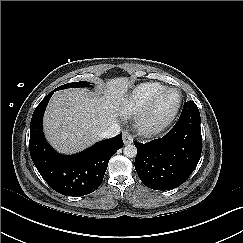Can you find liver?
Segmentation results:
<instances>
[{
  "label": "liver",
  "instance_id": "obj_1",
  "mask_svg": "<svg viewBox=\"0 0 243 243\" xmlns=\"http://www.w3.org/2000/svg\"><path fill=\"white\" fill-rule=\"evenodd\" d=\"M131 82L117 77L100 84L97 92L65 89L53 94L44 114L47 140L60 153L74 154L100 140L116 122Z\"/></svg>",
  "mask_w": 243,
  "mask_h": 243
}]
</instances>
